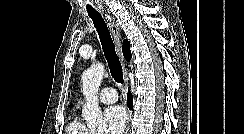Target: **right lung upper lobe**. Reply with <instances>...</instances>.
Masks as SVG:
<instances>
[{
    "label": "right lung upper lobe",
    "instance_id": "right-lung-upper-lobe-1",
    "mask_svg": "<svg viewBox=\"0 0 244 134\" xmlns=\"http://www.w3.org/2000/svg\"><path fill=\"white\" fill-rule=\"evenodd\" d=\"M123 55L127 62L131 59L130 43L127 40L123 41Z\"/></svg>",
    "mask_w": 244,
    "mask_h": 134
}]
</instances>
